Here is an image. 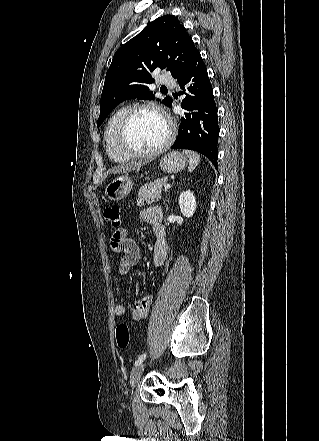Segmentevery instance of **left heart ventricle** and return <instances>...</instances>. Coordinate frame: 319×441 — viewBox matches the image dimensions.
Returning <instances> with one entry per match:
<instances>
[{"mask_svg":"<svg viewBox=\"0 0 319 441\" xmlns=\"http://www.w3.org/2000/svg\"><path fill=\"white\" fill-rule=\"evenodd\" d=\"M167 136V126L155 112L144 110L132 119L127 133V143L138 151H150L160 146Z\"/></svg>","mask_w":319,"mask_h":441,"instance_id":"left-heart-ventricle-1","label":"left heart ventricle"}]
</instances>
